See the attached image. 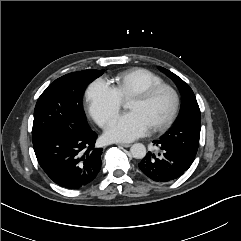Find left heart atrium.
<instances>
[{"mask_svg": "<svg viewBox=\"0 0 241 241\" xmlns=\"http://www.w3.org/2000/svg\"><path fill=\"white\" fill-rule=\"evenodd\" d=\"M151 127L141 113L130 111L117 116L109 123L105 137L109 141L128 142L147 134Z\"/></svg>", "mask_w": 241, "mask_h": 241, "instance_id": "39dd6f15", "label": "left heart atrium"}]
</instances>
